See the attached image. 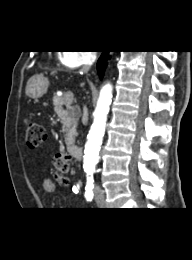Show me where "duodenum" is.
I'll list each match as a JSON object with an SVG mask.
<instances>
[{"label":"duodenum","instance_id":"410a0bca","mask_svg":"<svg viewBox=\"0 0 192 260\" xmlns=\"http://www.w3.org/2000/svg\"><path fill=\"white\" fill-rule=\"evenodd\" d=\"M69 154L77 161H80L83 156V149L78 145H72L69 148Z\"/></svg>","mask_w":192,"mask_h":260}]
</instances>
